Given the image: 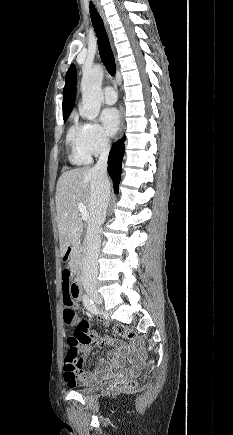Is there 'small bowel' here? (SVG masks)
I'll list each match as a JSON object with an SVG mask.
<instances>
[{"label":"small bowel","mask_w":233,"mask_h":435,"mask_svg":"<svg viewBox=\"0 0 233 435\" xmlns=\"http://www.w3.org/2000/svg\"><path fill=\"white\" fill-rule=\"evenodd\" d=\"M72 285L70 281L65 284L61 279V290L63 294H72ZM83 301V299H82ZM91 322L87 319L80 318L78 325L71 336L80 338L78 349H82L85 353L89 351V345L100 344L103 347H111L109 357L111 363L106 360H100V368L96 372H85L83 362L80 364L68 362L64 359L62 363V379L70 387L75 385L93 384L99 376H105L110 372H118L121 377H136L145 368V362L140 358H131L130 365L123 367L117 363L119 359L131 356L132 354H141L143 348L139 340H132L127 349L120 343L115 341L112 337L106 334H99L90 331Z\"/></svg>","instance_id":"c3829d8e"}]
</instances>
